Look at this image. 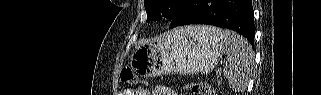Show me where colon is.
<instances>
[{"label": "colon", "instance_id": "1", "mask_svg": "<svg viewBox=\"0 0 321 95\" xmlns=\"http://www.w3.org/2000/svg\"><path fill=\"white\" fill-rule=\"evenodd\" d=\"M120 77L123 83L127 85H135L139 82L138 76L129 68H123L120 73ZM190 90L194 94L201 95H217L218 93L211 89L208 85L200 82L192 83Z\"/></svg>", "mask_w": 321, "mask_h": 95}]
</instances>
